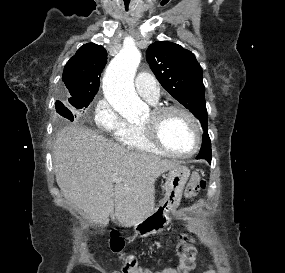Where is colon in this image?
<instances>
[{"label":"colon","mask_w":285,"mask_h":273,"mask_svg":"<svg viewBox=\"0 0 285 273\" xmlns=\"http://www.w3.org/2000/svg\"><path fill=\"white\" fill-rule=\"evenodd\" d=\"M206 188V181L197 173H194L186 185L184 196L186 199L194 198L199 191ZM110 250L119 255L122 267L121 273H148L149 270L143 269L133 255L126 254L124 251L125 242L121 237L113 236L109 240ZM178 266L176 273H189L196 265L197 249L193 244L192 238L187 235L182 236L177 245Z\"/></svg>","instance_id":"5ec220e1"}]
</instances>
